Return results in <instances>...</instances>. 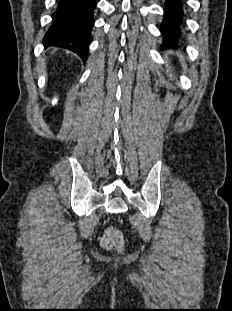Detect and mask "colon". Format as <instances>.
Returning <instances> with one entry per match:
<instances>
[{
  "instance_id": "5ec220e1",
  "label": "colon",
  "mask_w": 232,
  "mask_h": 311,
  "mask_svg": "<svg viewBox=\"0 0 232 311\" xmlns=\"http://www.w3.org/2000/svg\"><path fill=\"white\" fill-rule=\"evenodd\" d=\"M101 245L107 250H121L124 245L121 231L115 227H108L102 236Z\"/></svg>"
}]
</instances>
